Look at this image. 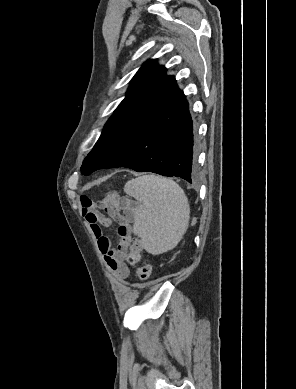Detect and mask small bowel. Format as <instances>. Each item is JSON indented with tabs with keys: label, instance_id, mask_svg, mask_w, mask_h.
I'll use <instances>...</instances> for the list:
<instances>
[{
	"label": "small bowel",
	"instance_id": "obj_1",
	"mask_svg": "<svg viewBox=\"0 0 296 389\" xmlns=\"http://www.w3.org/2000/svg\"><path fill=\"white\" fill-rule=\"evenodd\" d=\"M82 214L97 239L98 248L114 276L124 280L128 278L130 269L124 260L127 255L130 223L134 218L135 205L127 199L109 197L101 201L81 198ZM112 222L118 224L119 241L115 247L102 228L109 227Z\"/></svg>",
	"mask_w": 296,
	"mask_h": 389
}]
</instances>
